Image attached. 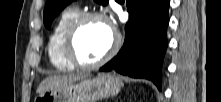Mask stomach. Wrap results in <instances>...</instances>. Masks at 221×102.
Wrapping results in <instances>:
<instances>
[{
	"label": "stomach",
	"instance_id": "1",
	"mask_svg": "<svg viewBox=\"0 0 221 102\" xmlns=\"http://www.w3.org/2000/svg\"><path fill=\"white\" fill-rule=\"evenodd\" d=\"M122 81L112 74L68 83L40 93L34 102H97L120 92Z\"/></svg>",
	"mask_w": 221,
	"mask_h": 102
}]
</instances>
